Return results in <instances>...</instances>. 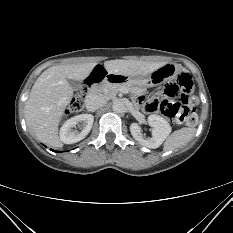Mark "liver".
I'll return each mask as SVG.
<instances>
[{
    "mask_svg": "<svg viewBox=\"0 0 233 233\" xmlns=\"http://www.w3.org/2000/svg\"><path fill=\"white\" fill-rule=\"evenodd\" d=\"M164 62L109 60L104 68L109 74L146 76ZM96 63L56 65L46 69L35 81L25 103V120L35 136L52 147H61L58 128L64 111L73 97L68 80L86 79Z\"/></svg>",
    "mask_w": 233,
    "mask_h": 233,
    "instance_id": "1",
    "label": "liver"
}]
</instances>
